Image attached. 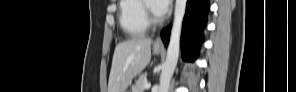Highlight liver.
I'll return each instance as SVG.
<instances>
[{"label": "liver", "instance_id": "1", "mask_svg": "<svg viewBox=\"0 0 296 92\" xmlns=\"http://www.w3.org/2000/svg\"><path fill=\"white\" fill-rule=\"evenodd\" d=\"M150 38L136 36L116 45L108 81V92H124L151 59Z\"/></svg>", "mask_w": 296, "mask_h": 92}]
</instances>
